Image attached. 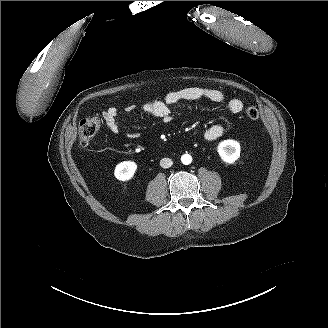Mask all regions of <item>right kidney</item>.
Here are the masks:
<instances>
[{
  "label": "right kidney",
  "mask_w": 328,
  "mask_h": 328,
  "mask_svg": "<svg viewBox=\"0 0 328 328\" xmlns=\"http://www.w3.org/2000/svg\"><path fill=\"white\" fill-rule=\"evenodd\" d=\"M137 165L135 162L124 161L118 164L115 168V176L122 181L129 180L133 177Z\"/></svg>",
  "instance_id": "right-kidney-1"
}]
</instances>
